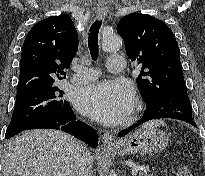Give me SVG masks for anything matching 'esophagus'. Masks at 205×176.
Returning <instances> with one entry per match:
<instances>
[{
    "mask_svg": "<svg viewBox=\"0 0 205 176\" xmlns=\"http://www.w3.org/2000/svg\"><path fill=\"white\" fill-rule=\"evenodd\" d=\"M107 13H108L107 7L102 6L97 8L96 14L99 19H102L105 16H107ZM101 143L103 147H115L117 145L113 134L110 132H105L104 134H102Z\"/></svg>",
    "mask_w": 205,
    "mask_h": 176,
    "instance_id": "esophagus-1",
    "label": "esophagus"
}]
</instances>
